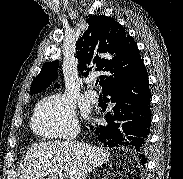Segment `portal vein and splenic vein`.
<instances>
[{
  "mask_svg": "<svg viewBox=\"0 0 183 179\" xmlns=\"http://www.w3.org/2000/svg\"><path fill=\"white\" fill-rule=\"evenodd\" d=\"M52 174H56L58 175L59 177H63V172L62 170L58 169V168H54V169H51V170H48L44 173V175H52Z\"/></svg>",
  "mask_w": 183,
  "mask_h": 179,
  "instance_id": "1",
  "label": "portal vein and splenic vein"
}]
</instances>
